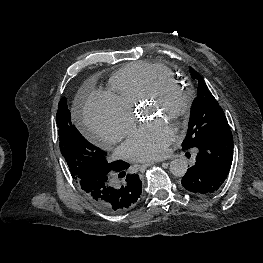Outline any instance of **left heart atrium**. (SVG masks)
Listing matches in <instances>:
<instances>
[{
  "instance_id": "39dd6f15",
  "label": "left heart atrium",
  "mask_w": 263,
  "mask_h": 263,
  "mask_svg": "<svg viewBox=\"0 0 263 263\" xmlns=\"http://www.w3.org/2000/svg\"><path fill=\"white\" fill-rule=\"evenodd\" d=\"M174 139L173 128L163 119H156L134 130L121 150L124 156L137 162L162 158Z\"/></svg>"
}]
</instances>
